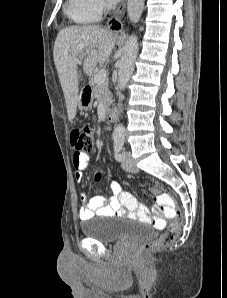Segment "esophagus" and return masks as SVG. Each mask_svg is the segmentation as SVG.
<instances>
[{"instance_id": "obj_1", "label": "esophagus", "mask_w": 227, "mask_h": 298, "mask_svg": "<svg viewBox=\"0 0 227 298\" xmlns=\"http://www.w3.org/2000/svg\"><path fill=\"white\" fill-rule=\"evenodd\" d=\"M125 9H126V0H123L120 6L118 7V9L116 10V12L113 14V16L109 18L107 22V27L111 31L118 32L122 30L123 24L121 22V19L125 13Z\"/></svg>"}]
</instances>
